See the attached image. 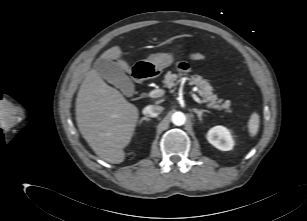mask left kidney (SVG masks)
Masks as SVG:
<instances>
[{
  "mask_svg": "<svg viewBox=\"0 0 307 221\" xmlns=\"http://www.w3.org/2000/svg\"><path fill=\"white\" fill-rule=\"evenodd\" d=\"M207 140L214 147L222 151H229L234 146V141L229 130L223 126H215L207 133Z\"/></svg>",
  "mask_w": 307,
  "mask_h": 221,
  "instance_id": "left-kidney-1",
  "label": "left kidney"
}]
</instances>
